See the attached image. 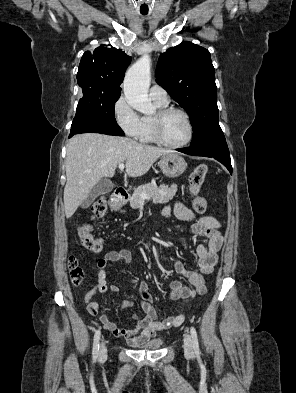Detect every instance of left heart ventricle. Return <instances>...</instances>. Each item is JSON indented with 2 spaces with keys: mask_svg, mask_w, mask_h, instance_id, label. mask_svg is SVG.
<instances>
[{
  "mask_svg": "<svg viewBox=\"0 0 296 393\" xmlns=\"http://www.w3.org/2000/svg\"><path fill=\"white\" fill-rule=\"evenodd\" d=\"M164 139L172 144L181 143L188 135V126L184 117L178 113L170 114L163 122Z\"/></svg>",
  "mask_w": 296,
  "mask_h": 393,
  "instance_id": "obj_1",
  "label": "left heart ventricle"
}]
</instances>
